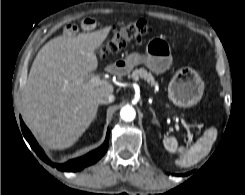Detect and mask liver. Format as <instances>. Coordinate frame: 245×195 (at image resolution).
<instances>
[{"instance_id":"obj_1","label":"liver","mask_w":245,"mask_h":195,"mask_svg":"<svg viewBox=\"0 0 245 195\" xmlns=\"http://www.w3.org/2000/svg\"><path fill=\"white\" fill-rule=\"evenodd\" d=\"M110 30L58 36L39 50L23 89L22 116L44 146H72L93 121L97 98L114 92L111 84L94 86L89 78Z\"/></svg>"}]
</instances>
